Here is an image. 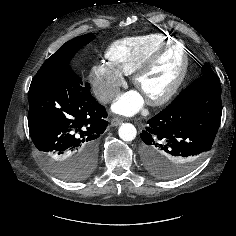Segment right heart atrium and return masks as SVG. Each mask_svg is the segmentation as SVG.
<instances>
[{
  "instance_id": "right-heart-atrium-1",
  "label": "right heart atrium",
  "mask_w": 236,
  "mask_h": 236,
  "mask_svg": "<svg viewBox=\"0 0 236 236\" xmlns=\"http://www.w3.org/2000/svg\"><path fill=\"white\" fill-rule=\"evenodd\" d=\"M90 82L96 98L101 103L108 104L118 95L124 78L108 62L103 61L92 66Z\"/></svg>"
}]
</instances>
